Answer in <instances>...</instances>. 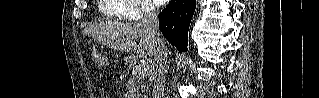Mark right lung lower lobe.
I'll return each instance as SVG.
<instances>
[{"label":"right lung lower lobe","mask_w":319,"mask_h":98,"mask_svg":"<svg viewBox=\"0 0 319 98\" xmlns=\"http://www.w3.org/2000/svg\"><path fill=\"white\" fill-rule=\"evenodd\" d=\"M196 0H171L159 14V29L165 38L180 52L187 51L188 29Z\"/></svg>","instance_id":"obj_1"}]
</instances>
